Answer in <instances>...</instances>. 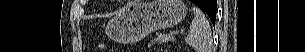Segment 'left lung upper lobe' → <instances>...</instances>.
<instances>
[{
	"label": "left lung upper lobe",
	"instance_id": "1",
	"mask_svg": "<svg viewBox=\"0 0 305 52\" xmlns=\"http://www.w3.org/2000/svg\"><path fill=\"white\" fill-rule=\"evenodd\" d=\"M199 4H202L205 0H197Z\"/></svg>",
	"mask_w": 305,
	"mask_h": 52
}]
</instances>
